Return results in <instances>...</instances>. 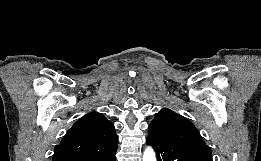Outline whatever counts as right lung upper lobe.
Returning <instances> with one entry per match:
<instances>
[{
  "instance_id": "cb5924a9",
  "label": "right lung upper lobe",
  "mask_w": 261,
  "mask_h": 161,
  "mask_svg": "<svg viewBox=\"0 0 261 161\" xmlns=\"http://www.w3.org/2000/svg\"><path fill=\"white\" fill-rule=\"evenodd\" d=\"M117 142L113 124L102 114L92 112L80 118L56 145L52 161L104 151Z\"/></svg>"
}]
</instances>
